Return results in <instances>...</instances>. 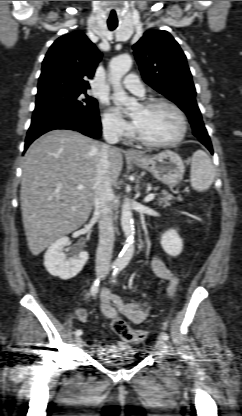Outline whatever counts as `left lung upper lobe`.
I'll use <instances>...</instances> for the list:
<instances>
[{
    "label": "left lung upper lobe",
    "instance_id": "left-lung-upper-lobe-1",
    "mask_svg": "<svg viewBox=\"0 0 242 416\" xmlns=\"http://www.w3.org/2000/svg\"><path fill=\"white\" fill-rule=\"evenodd\" d=\"M133 50L144 81L186 113L200 142L209 140L186 56L170 33L147 31Z\"/></svg>",
    "mask_w": 242,
    "mask_h": 416
}]
</instances>
